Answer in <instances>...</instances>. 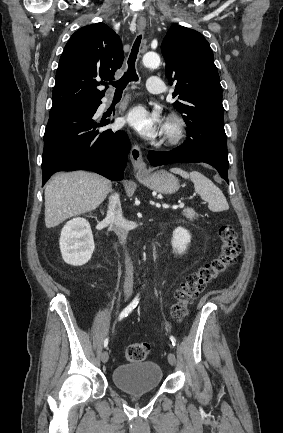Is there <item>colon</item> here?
<instances>
[{"instance_id":"1","label":"colon","mask_w":283,"mask_h":433,"mask_svg":"<svg viewBox=\"0 0 283 433\" xmlns=\"http://www.w3.org/2000/svg\"><path fill=\"white\" fill-rule=\"evenodd\" d=\"M218 235L221 242L219 255L191 273L175 293L176 300L172 306V315L178 321L186 318L190 304L209 283L234 263L240 252L238 235L233 226H220ZM150 351L151 347L148 343L138 342L128 345L124 353L129 361H142L149 356Z\"/></svg>"}]
</instances>
